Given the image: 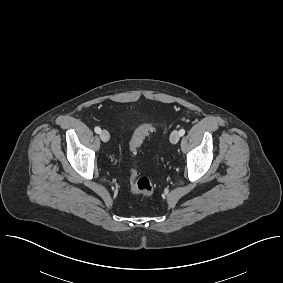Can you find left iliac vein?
Segmentation results:
<instances>
[{
    "mask_svg": "<svg viewBox=\"0 0 283 283\" xmlns=\"http://www.w3.org/2000/svg\"><path fill=\"white\" fill-rule=\"evenodd\" d=\"M180 139V134L177 130H174L171 134H170V142L172 144H177L178 141Z\"/></svg>",
    "mask_w": 283,
    "mask_h": 283,
    "instance_id": "4c4485c4",
    "label": "left iliac vein"
}]
</instances>
